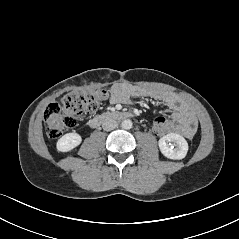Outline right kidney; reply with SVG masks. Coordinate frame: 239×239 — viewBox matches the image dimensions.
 <instances>
[{"mask_svg":"<svg viewBox=\"0 0 239 239\" xmlns=\"http://www.w3.org/2000/svg\"><path fill=\"white\" fill-rule=\"evenodd\" d=\"M82 142V137L77 133H67L63 135L56 144L59 152H69Z\"/></svg>","mask_w":239,"mask_h":239,"instance_id":"right-kidney-1","label":"right kidney"}]
</instances>
